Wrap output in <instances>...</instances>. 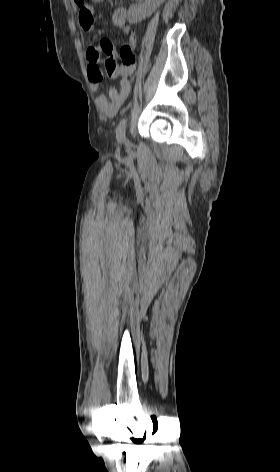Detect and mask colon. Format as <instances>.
<instances>
[{
  "mask_svg": "<svg viewBox=\"0 0 280 472\" xmlns=\"http://www.w3.org/2000/svg\"><path fill=\"white\" fill-rule=\"evenodd\" d=\"M120 58L124 65H135V55L133 51V45L127 42L120 49ZM105 71L111 78H117L118 75V64L113 60L105 61Z\"/></svg>",
  "mask_w": 280,
  "mask_h": 472,
  "instance_id": "1",
  "label": "colon"
}]
</instances>
